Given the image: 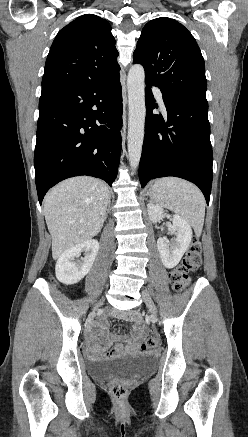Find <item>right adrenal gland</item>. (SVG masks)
Wrapping results in <instances>:
<instances>
[{
	"label": "right adrenal gland",
	"mask_w": 248,
	"mask_h": 437,
	"mask_svg": "<svg viewBox=\"0 0 248 437\" xmlns=\"http://www.w3.org/2000/svg\"><path fill=\"white\" fill-rule=\"evenodd\" d=\"M109 213H110V203H109L108 208H107L106 216H107Z\"/></svg>",
	"instance_id": "right-adrenal-gland-1"
}]
</instances>
